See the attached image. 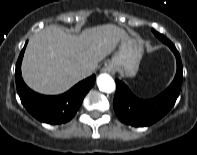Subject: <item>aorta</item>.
Listing matches in <instances>:
<instances>
[{
  "mask_svg": "<svg viewBox=\"0 0 197 155\" xmlns=\"http://www.w3.org/2000/svg\"><path fill=\"white\" fill-rule=\"evenodd\" d=\"M98 88L106 93L114 92L116 85L113 78L108 74H101L97 78Z\"/></svg>",
  "mask_w": 197,
  "mask_h": 155,
  "instance_id": "obj_1",
  "label": "aorta"
}]
</instances>
